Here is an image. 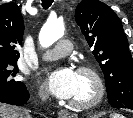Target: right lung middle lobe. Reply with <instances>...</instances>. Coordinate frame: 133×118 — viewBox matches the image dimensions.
<instances>
[{
    "label": "right lung middle lobe",
    "instance_id": "1",
    "mask_svg": "<svg viewBox=\"0 0 133 118\" xmlns=\"http://www.w3.org/2000/svg\"><path fill=\"white\" fill-rule=\"evenodd\" d=\"M18 72L17 62H0V90L17 88L23 85V82L14 78Z\"/></svg>",
    "mask_w": 133,
    "mask_h": 118
}]
</instances>
